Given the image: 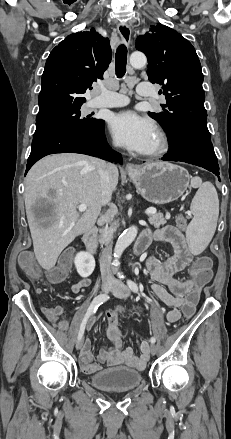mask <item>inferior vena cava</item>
<instances>
[{
    "label": "inferior vena cava",
    "mask_w": 231,
    "mask_h": 439,
    "mask_svg": "<svg viewBox=\"0 0 231 439\" xmlns=\"http://www.w3.org/2000/svg\"><path fill=\"white\" fill-rule=\"evenodd\" d=\"M112 164H107L105 162L100 163L99 176L100 182L102 186V194L104 197V204H108L111 200L112 189L110 184V174L109 169ZM111 254H112V245L111 243L106 245V247L102 250L100 256V271L101 277L103 281H113L114 276L111 268Z\"/></svg>",
    "instance_id": "602c4592"
}]
</instances>
